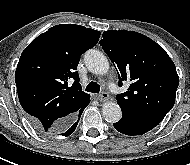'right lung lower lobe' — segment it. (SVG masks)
<instances>
[{
  "label": "right lung lower lobe",
  "mask_w": 190,
  "mask_h": 165,
  "mask_svg": "<svg viewBox=\"0 0 190 165\" xmlns=\"http://www.w3.org/2000/svg\"><path fill=\"white\" fill-rule=\"evenodd\" d=\"M89 104V102L78 112L77 116H78V120L77 121H74L72 122L63 132H60V133H55V134H58V135H64V136H69L73 133V131L76 129V126L78 124V121L81 117V114L83 112V110L86 108V106ZM76 116V117H77ZM30 122L38 129V122L37 120H35L34 118H29Z\"/></svg>",
  "instance_id": "obj_1"
}]
</instances>
